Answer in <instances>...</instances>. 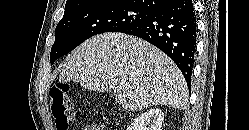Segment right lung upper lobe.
<instances>
[{
	"instance_id": "cb5924a9",
	"label": "right lung upper lobe",
	"mask_w": 249,
	"mask_h": 130,
	"mask_svg": "<svg viewBox=\"0 0 249 130\" xmlns=\"http://www.w3.org/2000/svg\"><path fill=\"white\" fill-rule=\"evenodd\" d=\"M106 0H67L65 5V11L80 8L89 4L102 2ZM132 2H135L141 6H145L148 8H151L152 10L157 9L162 4L167 2L168 0H131Z\"/></svg>"
}]
</instances>
